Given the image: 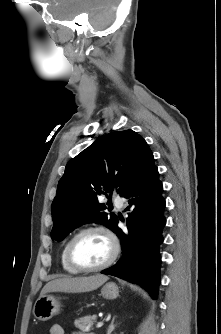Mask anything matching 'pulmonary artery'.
I'll list each match as a JSON object with an SVG mask.
<instances>
[{
    "instance_id": "e3ab8cb5",
    "label": "pulmonary artery",
    "mask_w": 221,
    "mask_h": 334,
    "mask_svg": "<svg viewBox=\"0 0 221 334\" xmlns=\"http://www.w3.org/2000/svg\"><path fill=\"white\" fill-rule=\"evenodd\" d=\"M113 202L117 208H122L123 207V200L121 198H114Z\"/></svg>"
}]
</instances>
